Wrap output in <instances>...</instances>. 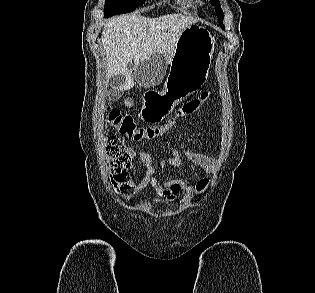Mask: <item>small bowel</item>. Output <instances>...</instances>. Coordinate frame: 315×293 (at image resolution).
Instances as JSON below:
<instances>
[{"instance_id": "obj_1", "label": "small bowel", "mask_w": 315, "mask_h": 293, "mask_svg": "<svg viewBox=\"0 0 315 293\" xmlns=\"http://www.w3.org/2000/svg\"><path fill=\"white\" fill-rule=\"evenodd\" d=\"M172 153V157L161 162L159 168L163 171L166 167L178 166L181 162V155H185L192 163L204 168L207 172H211L215 167V161L212 157L191 150L184 141H180L178 147L171 145H163ZM130 157L135 156V151L132 148L127 149ZM139 159L145 168L143 178L135 183L129 179L115 184V192L120 194L122 191L131 190L137 193L142 192L147 187H152L156 194L166 202H173L178 195L188 189V184L179 179H166L155 177L156 169L152 164V156L147 150H142L139 153Z\"/></svg>"}]
</instances>
